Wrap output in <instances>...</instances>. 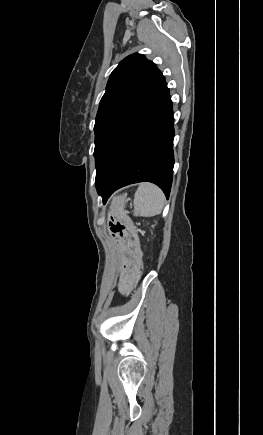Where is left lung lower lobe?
<instances>
[{
  "mask_svg": "<svg viewBox=\"0 0 263 435\" xmlns=\"http://www.w3.org/2000/svg\"><path fill=\"white\" fill-rule=\"evenodd\" d=\"M173 108L166 87L121 133L96 173L105 204L117 189L137 182L158 185L169 197L173 175Z\"/></svg>",
  "mask_w": 263,
  "mask_h": 435,
  "instance_id": "left-lung-lower-lobe-1",
  "label": "left lung lower lobe"
}]
</instances>
